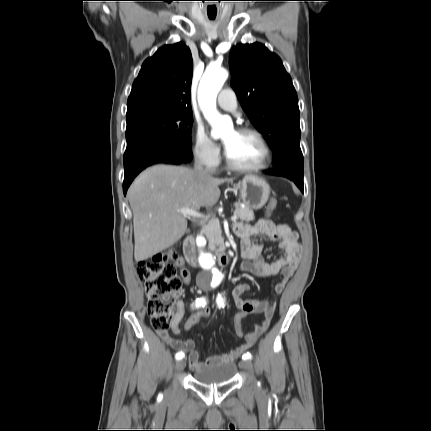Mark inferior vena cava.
I'll list each match as a JSON object with an SVG mask.
<instances>
[{"label": "inferior vena cava", "instance_id": "obj_1", "mask_svg": "<svg viewBox=\"0 0 431 431\" xmlns=\"http://www.w3.org/2000/svg\"><path fill=\"white\" fill-rule=\"evenodd\" d=\"M194 170H195V171H198V172H202V173H206V174H208V172L203 171L201 163H199V162H197V161H196V162H195V164H194Z\"/></svg>", "mask_w": 431, "mask_h": 431}]
</instances>
